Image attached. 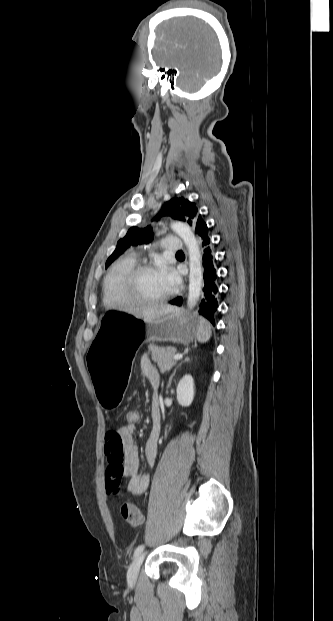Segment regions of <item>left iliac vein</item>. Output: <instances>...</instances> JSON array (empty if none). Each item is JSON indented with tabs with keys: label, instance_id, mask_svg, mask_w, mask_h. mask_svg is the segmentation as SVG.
Segmentation results:
<instances>
[{
	"label": "left iliac vein",
	"instance_id": "obj_1",
	"mask_svg": "<svg viewBox=\"0 0 333 621\" xmlns=\"http://www.w3.org/2000/svg\"><path fill=\"white\" fill-rule=\"evenodd\" d=\"M145 557V552L144 553H140L133 561L129 572H128V581L130 584H134L137 580L138 574H139V570H140V566L143 562V559Z\"/></svg>",
	"mask_w": 333,
	"mask_h": 621
}]
</instances>
